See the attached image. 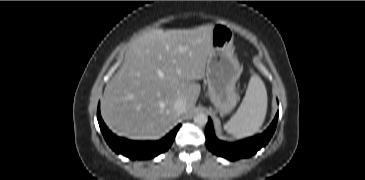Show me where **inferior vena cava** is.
Segmentation results:
<instances>
[{
	"label": "inferior vena cava",
	"instance_id": "1",
	"mask_svg": "<svg viewBox=\"0 0 365 180\" xmlns=\"http://www.w3.org/2000/svg\"><path fill=\"white\" fill-rule=\"evenodd\" d=\"M174 111L180 116L186 112V102L182 98H178L174 103Z\"/></svg>",
	"mask_w": 365,
	"mask_h": 180
}]
</instances>
